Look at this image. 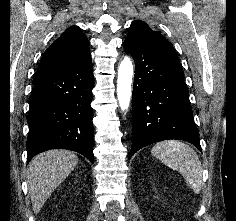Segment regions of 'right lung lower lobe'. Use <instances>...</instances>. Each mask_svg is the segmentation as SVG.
Instances as JSON below:
<instances>
[{"mask_svg":"<svg viewBox=\"0 0 236 221\" xmlns=\"http://www.w3.org/2000/svg\"><path fill=\"white\" fill-rule=\"evenodd\" d=\"M92 63L34 79L27 122L28 162L50 149L76 151L93 162Z\"/></svg>","mask_w":236,"mask_h":221,"instance_id":"obj_1","label":"right lung lower lobe"}]
</instances>
